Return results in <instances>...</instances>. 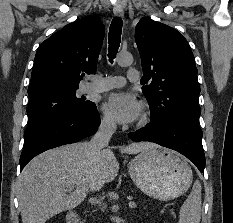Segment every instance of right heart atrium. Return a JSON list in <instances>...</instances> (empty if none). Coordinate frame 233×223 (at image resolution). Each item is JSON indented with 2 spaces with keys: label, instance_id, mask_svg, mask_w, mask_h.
I'll return each instance as SVG.
<instances>
[{
  "label": "right heart atrium",
  "instance_id": "1",
  "mask_svg": "<svg viewBox=\"0 0 233 223\" xmlns=\"http://www.w3.org/2000/svg\"><path fill=\"white\" fill-rule=\"evenodd\" d=\"M100 127L106 131H114L116 124L110 117L104 116L100 121Z\"/></svg>",
  "mask_w": 233,
  "mask_h": 223
}]
</instances>
